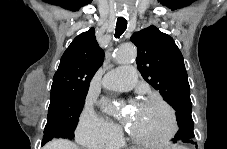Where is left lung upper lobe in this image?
Returning <instances> with one entry per match:
<instances>
[{
	"mask_svg": "<svg viewBox=\"0 0 227 149\" xmlns=\"http://www.w3.org/2000/svg\"><path fill=\"white\" fill-rule=\"evenodd\" d=\"M130 40L137 46V68L142 77L176 111L179 131L175 139L194 138L188 76L174 40L154 25L135 32Z\"/></svg>",
	"mask_w": 227,
	"mask_h": 149,
	"instance_id": "obj_1",
	"label": "left lung upper lobe"
}]
</instances>
